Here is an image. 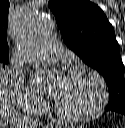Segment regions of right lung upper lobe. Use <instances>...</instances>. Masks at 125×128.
I'll list each match as a JSON object with an SVG mask.
<instances>
[{
    "instance_id": "cb5924a9",
    "label": "right lung upper lobe",
    "mask_w": 125,
    "mask_h": 128,
    "mask_svg": "<svg viewBox=\"0 0 125 128\" xmlns=\"http://www.w3.org/2000/svg\"><path fill=\"white\" fill-rule=\"evenodd\" d=\"M9 2L0 0V58L9 59V47L7 44Z\"/></svg>"
}]
</instances>
